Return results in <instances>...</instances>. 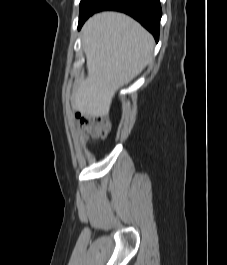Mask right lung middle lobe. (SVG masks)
Masks as SVG:
<instances>
[{"instance_id":"dd1d6c3e","label":"right lung middle lobe","mask_w":227,"mask_h":265,"mask_svg":"<svg viewBox=\"0 0 227 265\" xmlns=\"http://www.w3.org/2000/svg\"><path fill=\"white\" fill-rule=\"evenodd\" d=\"M103 0H81L79 22L91 16Z\"/></svg>"}]
</instances>
